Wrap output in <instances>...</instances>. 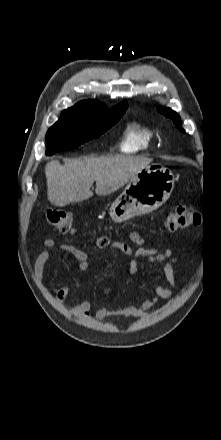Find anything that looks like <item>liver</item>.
<instances>
[{
    "instance_id": "1",
    "label": "liver",
    "mask_w": 221,
    "mask_h": 440,
    "mask_svg": "<svg viewBox=\"0 0 221 440\" xmlns=\"http://www.w3.org/2000/svg\"><path fill=\"white\" fill-rule=\"evenodd\" d=\"M150 162L147 158L122 155L77 159L64 165L50 161L45 166L48 199L58 207L87 200L93 196L90 188L94 181L97 195H109Z\"/></svg>"
}]
</instances>
